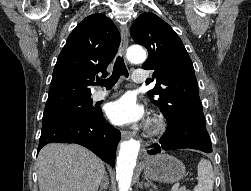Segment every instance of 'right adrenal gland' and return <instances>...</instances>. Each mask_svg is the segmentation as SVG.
<instances>
[{
  "mask_svg": "<svg viewBox=\"0 0 251 191\" xmlns=\"http://www.w3.org/2000/svg\"><path fill=\"white\" fill-rule=\"evenodd\" d=\"M108 185H109V177L107 175V171H104V175H103L102 181L100 183L99 191H103V189H107Z\"/></svg>",
  "mask_w": 251,
  "mask_h": 191,
  "instance_id": "right-adrenal-gland-1",
  "label": "right adrenal gland"
}]
</instances>
